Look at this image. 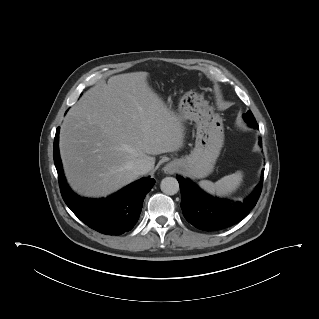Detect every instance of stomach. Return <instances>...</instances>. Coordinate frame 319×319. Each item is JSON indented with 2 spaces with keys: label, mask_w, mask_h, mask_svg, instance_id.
<instances>
[{
  "label": "stomach",
  "mask_w": 319,
  "mask_h": 319,
  "mask_svg": "<svg viewBox=\"0 0 319 319\" xmlns=\"http://www.w3.org/2000/svg\"><path fill=\"white\" fill-rule=\"evenodd\" d=\"M178 116L182 121L196 123L195 147L189 155L174 159L169 165L190 178H205L213 172L224 144L223 119L214 112L203 95L193 91L181 97Z\"/></svg>",
  "instance_id": "obj_1"
}]
</instances>
